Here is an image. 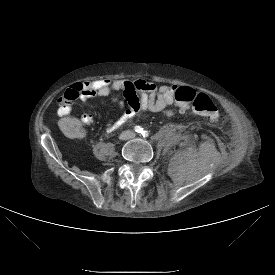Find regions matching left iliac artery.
<instances>
[{
    "instance_id": "1",
    "label": "left iliac artery",
    "mask_w": 275,
    "mask_h": 275,
    "mask_svg": "<svg viewBox=\"0 0 275 275\" xmlns=\"http://www.w3.org/2000/svg\"><path fill=\"white\" fill-rule=\"evenodd\" d=\"M142 135H143V137H148L149 133H148V131H143Z\"/></svg>"
}]
</instances>
